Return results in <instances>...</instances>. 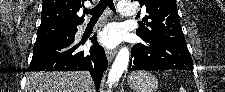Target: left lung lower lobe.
I'll list each match as a JSON object with an SVG mask.
<instances>
[{
	"label": "left lung lower lobe",
	"mask_w": 225,
	"mask_h": 92,
	"mask_svg": "<svg viewBox=\"0 0 225 92\" xmlns=\"http://www.w3.org/2000/svg\"><path fill=\"white\" fill-rule=\"evenodd\" d=\"M131 49L129 70L193 69V61L186 44L171 40L142 39Z\"/></svg>",
	"instance_id": "1"
}]
</instances>
